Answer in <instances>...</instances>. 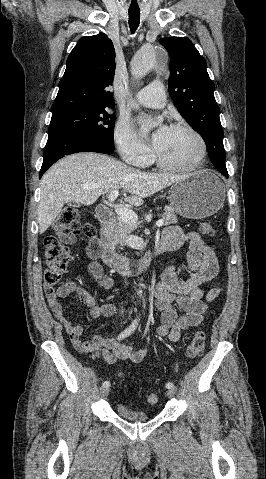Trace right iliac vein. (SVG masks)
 Segmentation results:
<instances>
[{"label": "right iliac vein", "instance_id": "right-iliac-vein-1", "mask_svg": "<svg viewBox=\"0 0 266 479\" xmlns=\"http://www.w3.org/2000/svg\"><path fill=\"white\" fill-rule=\"evenodd\" d=\"M109 391H110V390H109V387H102V388L100 389V395H101V397H102V398L107 397L108 394H109Z\"/></svg>", "mask_w": 266, "mask_h": 479}]
</instances>
